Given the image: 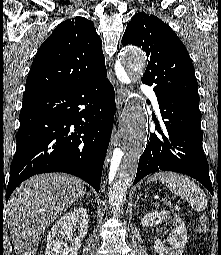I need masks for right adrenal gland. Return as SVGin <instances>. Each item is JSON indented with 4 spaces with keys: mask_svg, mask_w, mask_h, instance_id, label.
<instances>
[{
    "mask_svg": "<svg viewBox=\"0 0 221 255\" xmlns=\"http://www.w3.org/2000/svg\"><path fill=\"white\" fill-rule=\"evenodd\" d=\"M84 195L89 196V193L87 192V190H84V193L82 194V196L80 197V200L84 198Z\"/></svg>",
    "mask_w": 221,
    "mask_h": 255,
    "instance_id": "obj_1",
    "label": "right adrenal gland"
}]
</instances>
